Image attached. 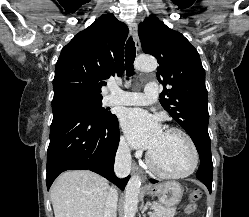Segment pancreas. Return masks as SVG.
Returning <instances> with one entry per match:
<instances>
[{"mask_svg":"<svg viewBox=\"0 0 249 217\" xmlns=\"http://www.w3.org/2000/svg\"><path fill=\"white\" fill-rule=\"evenodd\" d=\"M176 208H166L161 204L154 202L152 204V213L150 217H173L175 215Z\"/></svg>","mask_w":249,"mask_h":217,"instance_id":"pancreas-1","label":"pancreas"}]
</instances>
